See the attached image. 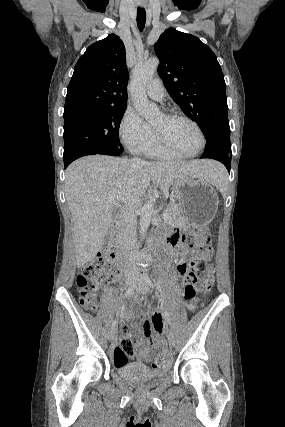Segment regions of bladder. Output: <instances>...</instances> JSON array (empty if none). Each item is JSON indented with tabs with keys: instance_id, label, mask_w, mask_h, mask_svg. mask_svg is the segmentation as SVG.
Here are the masks:
<instances>
[{
	"instance_id": "obj_1",
	"label": "bladder",
	"mask_w": 285,
	"mask_h": 427,
	"mask_svg": "<svg viewBox=\"0 0 285 427\" xmlns=\"http://www.w3.org/2000/svg\"><path fill=\"white\" fill-rule=\"evenodd\" d=\"M115 373L138 389L152 388L166 377L165 371H154L140 363L127 364Z\"/></svg>"
}]
</instances>
